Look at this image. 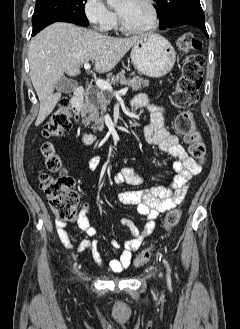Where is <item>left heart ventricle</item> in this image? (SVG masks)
<instances>
[{"label":"left heart ventricle","mask_w":240,"mask_h":329,"mask_svg":"<svg viewBox=\"0 0 240 329\" xmlns=\"http://www.w3.org/2000/svg\"><path fill=\"white\" fill-rule=\"evenodd\" d=\"M117 11L132 29L147 27L152 22V12L145 0H122Z\"/></svg>","instance_id":"obj_1"}]
</instances>
